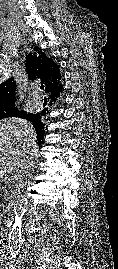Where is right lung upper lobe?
<instances>
[{"label":"right lung upper lobe","instance_id":"cb5924a9","mask_svg":"<svg viewBox=\"0 0 118 269\" xmlns=\"http://www.w3.org/2000/svg\"><path fill=\"white\" fill-rule=\"evenodd\" d=\"M26 70L30 80H40L45 85V92L49 93V99L55 101L59 97L63 87L59 84L61 74L59 66L37 46L34 47V55L31 53L26 57ZM16 82L11 77L0 84V107L15 104ZM47 108L37 114H27L25 111L20 112V117L29 119L38 134L39 140L44 136V124L41 122L42 117L46 114Z\"/></svg>","mask_w":118,"mask_h":269}]
</instances>
